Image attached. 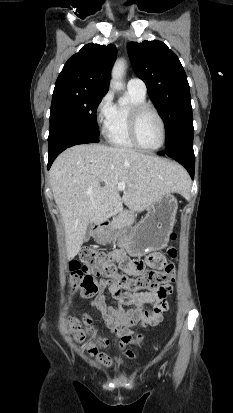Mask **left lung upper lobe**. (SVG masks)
<instances>
[{"instance_id":"left-lung-upper-lobe-1","label":"left lung upper lobe","mask_w":233,"mask_h":413,"mask_svg":"<svg viewBox=\"0 0 233 413\" xmlns=\"http://www.w3.org/2000/svg\"><path fill=\"white\" fill-rule=\"evenodd\" d=\"M128 52L133 69L148 89L166 126V149L193 144L190 89L176 54L161 41L130 42Z\"/></svg>"}]
</instances>
